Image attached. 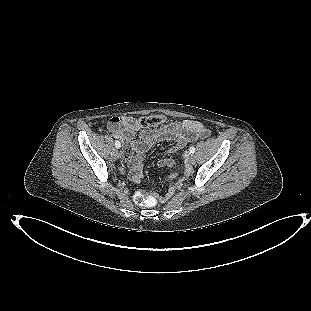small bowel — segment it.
<instances>
[{
    "label": "small bowel",
    "mask_w": 311,
    "mask_h": 311,
    "mask_svg": "<svg viewBox=\"0 0 311 311\" xmlns=\"http://www.w3.org/2000/svg\"><path fill=\"white\" fill-rule=\"evenodd\" d=\"M118 122V128L113 123ZM109 132L126 143L130 149L123 152V158L130 165V176L135 182L142 177V163L146 152L156 142L173 141L174 145L166 153L172 154L182 150L189 142L208 135L207 128L196 120H183L179 123H170L157 129H142L139 120L130 116L112 117L107 125ZM140 131V139L134 138L135 132ZM172 161L162 159L159 165L167 166ZM170 191L166 194L169 195Z\"/></svg>",
    "instance_id": "obj_1"
}]
</instances>
